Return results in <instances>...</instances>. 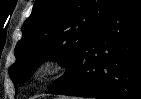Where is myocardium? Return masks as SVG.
I'll use <instances>...</instances> for the list:
<instances>
[{"mask_svg":"<svg viewBox=\"0 0 141 99\" xmlns=\"http://www.w3.org/2000/svg\"><path fill=\"white\" fill-rule=\"evenodd\" d=\"M66 70L67 63L64 58L58 55H48L35 66L33 78L43 83L62 75Z\"/></svg>","mask_w":141,"mask_h":99,"instance_id":"obj_1","label":"myocardium"}]
</instances>
